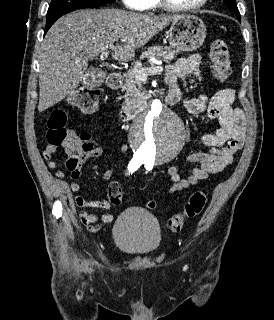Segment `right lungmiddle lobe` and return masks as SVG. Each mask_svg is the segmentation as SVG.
<instances>
[{
    "label": "right lung middle lobe",
    "instance_id": "obj_1",
    "mask_svg": "<svg viewBox=\"0 0 274 320\" xmlns=\"http://www.w3.org/2000/svg\"><path fill=\"white\" fill-rule=\"evenodd\" d=\"M116 0H52L47 11V17L61 12L97 7Z\"/></svg>",
    "mask_w": 274,
    "mask_h": 320
}]
</instances>
